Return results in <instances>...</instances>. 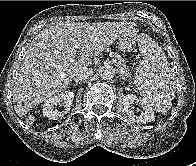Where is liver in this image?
Segmentation results:
<instances>
[{
  "instance_id": "1",
  "label": "liver",
  "mask_w": 196,
  "mask_h": 166,
  "mask_svg": "<svg viewBox=\"0 0 196 166\" xmlns=\"http://www.w3.org/2000/svg\"><path fill=\"white\" fill-rule=\"evenodd\" d=\"M134 25L127 22H58L38 33L28 44L14 80L13 102L17 115L25 116L33 107L65 90L76 72L91 66L92 57L125 32L134 30ZM76 49H79L77 59Z\"/></svg>"
}]
</instances>
